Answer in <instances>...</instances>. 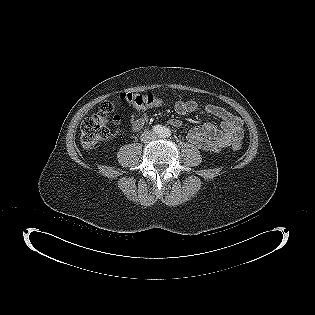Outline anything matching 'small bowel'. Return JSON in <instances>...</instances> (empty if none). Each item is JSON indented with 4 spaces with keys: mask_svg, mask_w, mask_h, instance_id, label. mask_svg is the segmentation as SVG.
I'll return each mask as SVG.
<instances>
[{
    "mask_svg": "<svg viewBox=\"0 0 315 315\" xmlns=\"http://www.w3.org/2000/svg\"><path fill=\"white\" fill-rule=\"evenodd\" d=\"M197 107L198 104L194 100H179L174 105V109L179 115L192 113L196 111ZM205 111L220 121L219 126H216L211 122H205L192 127L187 132V139L189 142L204 151L214 152L241 143L244 133L242 129V120L239 117L214 104L206 105ZM145 119V114H142L141 116L132 115V128L134 130L140 129ZM169 123L176 128L182 127V122L176 118L170 119Z\"/></svg>",
    "mask_w": 315,
    "mask_h": 315,
    "instance_id": "obj_1",
    "label": "small bowel"
}]
</instances>
